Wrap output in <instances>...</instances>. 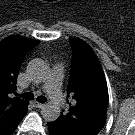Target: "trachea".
Returning <instances> with one entry per match:
<instances>
[{"mask_svg":"<svg viewBox=\"0 0 135 135\" xmlns=\"http://www.w3.org/2000/svg\"><path fill=\"white\" fill-rule=\"evenodd\" d=\"M19 96L23 99H26V100H33L34 99V95L31 92H26V93L20 94ZM46 100L47 99L44 96L37 97V101L40 103H45Z\"/></svg>","mask_w":135,"mask_h":135,"instance_id":"obj_1","label":"trachea"}]
</instances>
